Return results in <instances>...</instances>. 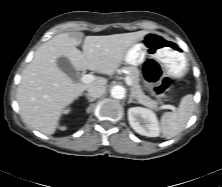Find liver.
<instances>
[{"label": "liver", "mask_w": 222, "mask_h": 187, "mask_svg": "<svg viewBox=\"0 0 222 187\" xmlns=\"http://www.w3.org/2000/svg\"><path fill=\"white\" fill-rule=\"evenodd\" d=\"M147 31L105 36H86L83 52L77 46L81 32L62 33L41 45L24 69L17 89V101L23 121L46 134L55 133L63 110L93 85H106L97 77L91 83H74L57 65L66 57L76 71L91 70L111 75L122 64L128 49L143 39Z\"/></svg>", "instance_id": "1"}]
</instances>
